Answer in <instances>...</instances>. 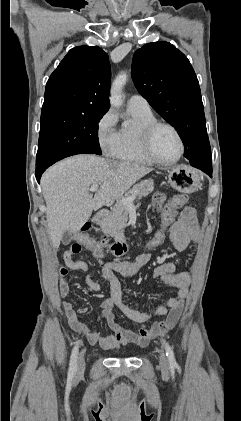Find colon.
I'll list each match as a JSON object with an SVG mask.
<instances>
[{"label":"colon","mask_w":241,"mask_h":421,"mask_svg":"<svg viewBox=\"0 0 241 421\" xmlns=\"http://www.w3.org/2000/svg\"><path fill=\"white\" fill-rule=\"evenodd\" d=\"M187 202V197L185 195H175L172 197L167 204L164 206L162 213L160 214V223L151 238L145 244V250L148 252L155 248L161 246L168 237V232L175 221L177 211L182 208ZM88 226L84 225L81 229V232L78 233L75 237L76 242L70 245V250L73 254H78L83 251V248L86 247L93 251L94 257L99 258L102 250H107L112 252V249L108 248L105 243L98 244L94 240L90 239L86 234ZM61 273L64 274L65 270H61Z\"/></svg>","instance_id":"1"}]
</instances>
